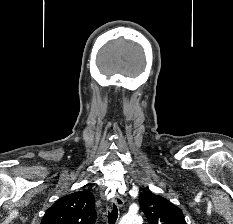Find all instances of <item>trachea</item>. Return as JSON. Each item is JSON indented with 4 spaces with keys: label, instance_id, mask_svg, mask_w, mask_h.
Listing matches in <instances>:
<instances>
[{
    "label": "trachea",
    "instance_id": "trachea-1",
    "mask_svg": "<svg viewBox=\"0 0 233 224\" xmlns=\"http://www.w3.org/2000/svg\"><path fill=\"white\" fill-rule=\"evenodd\" d=\"M117 217H118V209L116 205L113 204L111 212H109V224H115Z\"/></svg>",
    "mask_w": 233,
    "mask_h": 224
}]
</instances>
